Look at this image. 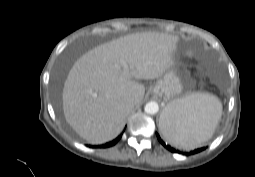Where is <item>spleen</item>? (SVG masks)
Returning a JSON list of instances; mask_svg holds the SVG:
<instances>
[{
	"label": "spleen",
	"instance_id": "obj_1",
	"mask_svg": "<svg viewBox=\"0 0 255 177\" xmlns=\"http://www.w3.org/2000/svg\"><path fill=\"white\" fill-rule=\"evenodd\" d=\"M221 115L222 104L216 96L192 93L169 104L161 131L171 145L194 149L212 137Z\"/></svg>",
	"mask_w": 255,
	"mask_h": 177
}]
</instances>
